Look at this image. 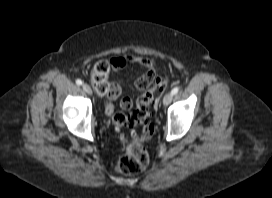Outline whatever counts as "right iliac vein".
<instances>
[{
	"mask_svg": "<svg viewBox=\"0 0 272 198\" xmlns=\"http://www.w3.org/2000/svg\"><path fill=\"white\" fill-rule=\"evenodd\" d=\"M82 88L87 94L92 95V89L88 84H83Z\"/></svg>",
	"mask_w": 272,
	"mask_h": 198,
	"instance_id": "63e3f726",
	"label": "right iliac vein"
}]
</instances>
